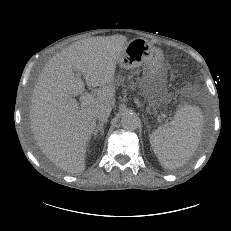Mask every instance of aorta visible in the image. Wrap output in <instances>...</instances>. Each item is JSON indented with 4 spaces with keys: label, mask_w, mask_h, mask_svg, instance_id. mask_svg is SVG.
<instances>
[{
    "label": "aorta",
    "mask_w": 231,
    "mask_h": 231,
    "mask_svg": "<svg viewBox=\"0 0 231 231\" xmlns=\"http://www.w3.org/2000/svg\"><path fill=\"white\" fill-rule=\"evenodd\" d=\"M121 125L126 130H136L140 125V119L133 113H126L121 118Z\"/></svg>",
    "instance_id": "762f6f07"
}]
</instances>
